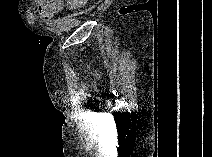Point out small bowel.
I'll use <instances>...</instances> for the list:
<instances>
[{
	"mask_svg": "<svg viewBox=\"0 0 212 157\" xmlns=\"http://www.w3.org/2000/svg\"><path fill=\"white\" fill-rule=\"evenodd\" d=\"M84 4L83 0H51V1H40L38 3V10L39 14L46 18L54 17L58 11L63 7L66 6L69 9H76L79 8Z\"/></svg>",
	"mask_w": 212,
	"mask_h": 157,
	"instance_id": "1",
	"label": "small bowel"
}]
</instances>
